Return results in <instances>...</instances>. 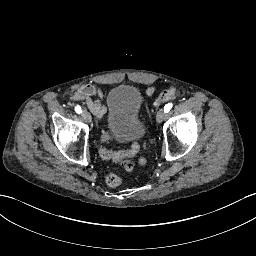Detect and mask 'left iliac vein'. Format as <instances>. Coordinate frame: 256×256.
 Masks as SVG:
<instances>
[{
    "label": "left iliac vein",
    "instance_id": "obj_1",
    "mask_svg": "<svg viewBox=\"0 0 256 256\" xmlns=\"http://www.w3.org/2000/svg\"><path fill=\"white\" fill-rule=\"evenodd\" d=\"M165 115H166V113H165L164 109H159V111L157 112V115H156V121L158 123H161L164 120Z\"/></svg>",
    "mask_w": 256,
    "mask_h": 256
}]
</instances>
